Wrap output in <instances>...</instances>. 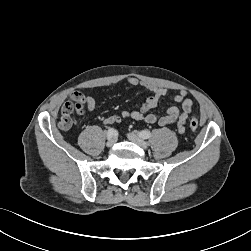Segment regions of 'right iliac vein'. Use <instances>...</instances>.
I'll return each mask as SVG.
<instances>
[{"label":"right iliac vein","instance_id":"1","mask_svg":"<svg viewBox=\"0 0 251 251\" xmlns=\"http://www.w3.org/2000/svg\"><path fill=\"white\" fill-rule=\"evenodd\" d=\"M115 143H116V138L112 137V138L108 139L106 145H107V147H112Z\"/></svg>","mask_w":251,"mask_h":251}]
</instances>
